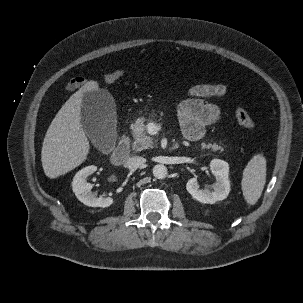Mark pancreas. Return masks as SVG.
Segmentation results:
<instances>
[{"label":"pancreas","instance_id":"cf45deb5","mask_svg":"<svg viewBox=\"0 0 303 303\" xmlns=\"http://www.w3.org/2000/svg\"><path fill=\"white\" fill-rule=\"evenodd\" d=\"M147 119L145 117H141L136 120L134 125L132 126V136L133 143L132 148L135 151H141L144 149L153 148L154 141L153 138L147 135L145 122ZM202 149H210L213 152L219 151L223 152L224 148L216 143H201Z\"/></svg>","mask_w":303,"mask_h":303}]
</instances>
